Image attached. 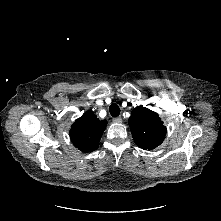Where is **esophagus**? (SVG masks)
Returning <instances> with one entry per match:
<instances>
[{"label":"esophagus","instance_id":"1","mask_svg":"<svg viewBox=\"0 0 221 221\" xmlns=\"http://www.w3.org/2000/svg\"><path fill=\"white\" fill-rule=\"evenodd\" d=\"M113 121L116 122V123H121L122 122V118L119 116V117H115L113 118Z\"/></svg>","mask_w":221,"mask_h":221}]
</instances>
